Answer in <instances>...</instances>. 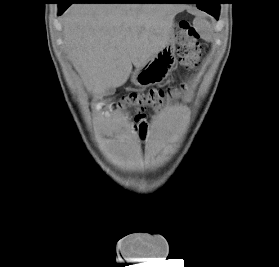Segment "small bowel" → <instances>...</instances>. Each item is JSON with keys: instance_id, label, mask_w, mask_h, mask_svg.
Listing matches in <instances>:
<instances>
[{"instance_id": "1", "label": "small bowel", "mask_w": 279, "mask_h": 267, "mask_svg": "<svg viewBox=\"0 0 279 267\" xmlns=\"http://www.w3.org/2000/svg\"><path fill=\"white\" fill-rule=\"evenodd\" d=\"M147 120L146 116L135 118V128L139 131L141 136H145L147 132Z\"/></svg>"}]
</instances>
